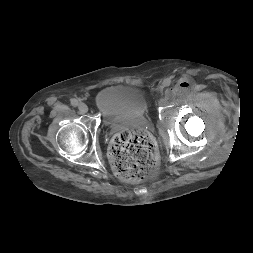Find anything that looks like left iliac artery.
Wrapping results in <instances>:
<instances>
[{"label": "left iliac artery", "instance_id": "obj_1", "mask_svg": "<svg viewBox=\"0 0 253 253\" xmlns=\"http://www.w3.org/2000/svg\"><path fill=\"white\" fill-rule=\"evenodd\" d=\"M170 84H171V79L170 78L164 79V81H163L164 86H169Z\"/></svg>", "mask_w": 253, "mask_h": 253}]
</instances>
